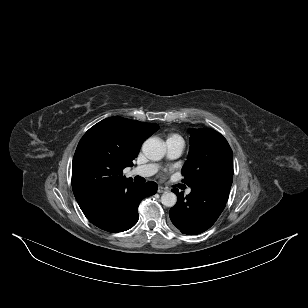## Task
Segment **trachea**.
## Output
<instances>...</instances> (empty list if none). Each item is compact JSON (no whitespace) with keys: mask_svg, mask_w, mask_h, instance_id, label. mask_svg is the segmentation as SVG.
Instances as JSON below:
<instances>
[{"mask_svg":"<svg viewBox=\"0 0 308 308\" xmlns=\"http://www.w3.org/2000/svg\"><path fill=\"white\" fill-rule=\"evenodd\" d=\"M134 180L136 181V182H140V179H139V177L137 176V177H135L134 178Z\"/></svg>","mask_w":308,"mask_h":308,"instance_id":"3493384b","label":"trachea"}]
</instances>
